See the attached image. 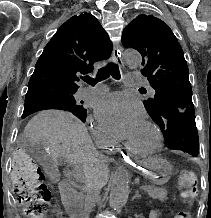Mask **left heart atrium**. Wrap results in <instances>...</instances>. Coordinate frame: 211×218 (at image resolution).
I'll use <instances>...</instances> for the list:
<instances>
[{"instance_id":"1","label":"left heart atrium","mask_w":211,"mask_h":218,"mask_svg":"<svg viewBox=\"0 0 211 218\" xmlns=\"http://www.w3.org/2000/svg\"><path fill=\"white\" fill-rule=\"evenodd\" d=\"M95 116L102 128L116 139H128L145 125L141 102L122 92L107 95L97 101Z\"/></svg>"}]
</instances>
